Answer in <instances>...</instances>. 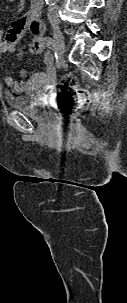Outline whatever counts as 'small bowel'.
Returning a JSON list of instances; mask_svg holds the SVG:
<instances>
[{
    "label": "small bowel",
    "instance_id": "obj_1",
    "mask_svg": "<svg viewBox=\"0 0 127 303\" xmlns=\"http://www.w3.org/2000/svg\"><path fill=\"white\" fill-rule=\"evenodd\" d=\"M14 2L15 0H8ZM23 4L17 6V10L22 9ZM43 0H30L27 12L20 18L14 20L7 28L0 30V61L4 53L15 51V45L23 36L30 32L33 34L29 49L33 54L43 53L42 61L45 71L36 72L28 77L26 69L20 71L22 81H17L13 77H6L5 84L13 92L34 93L42 85L51 87L54 81L55 67L53 64V54L46 51V41L44 38L45 26L40 16L42 13Z\"/></svg>",
    "mask_w": 127,
    "mask_h": 303
}]
</instances>
